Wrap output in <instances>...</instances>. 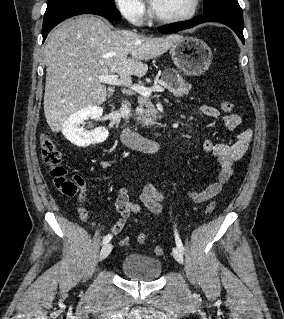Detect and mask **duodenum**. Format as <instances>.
<instances>
[{
	"instance_id": "1",
	"label": "duodenum",
	"mask_w": 284,
	"mask_h": 319,
	"mask_svg": "<svg viewBox=\"0 0 284 319\" xmlns=\"http://www.w3.org/2000/svg\"><path fill=\"white\" fill-rule=\"evenodd\" d=\"M121 140L124 145L133 149L156 152L162 148L160 142L146 138L128 127L122 128Z\"/></svg>"
}]
</instances>
